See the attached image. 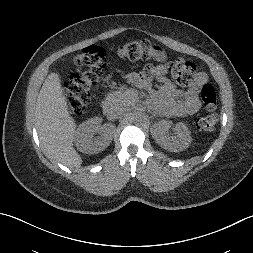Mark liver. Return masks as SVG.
Here are the masks:
<instances>
[{
	"instance_id": "obj_1",
	"label": "liver",
	"mask_w": 253,
	"mask_h": 253,
	"mask_svg": "<svg viewBox=\"0 0 253 253\" xmlns=\"http://www.w3.org/2000/svg\"><path fill=\"white\" fill-rule=\"evenodd\" d=\"M136 96L134 90L126 93L122 101L126 111L131 104L130 100ZM33 122L42 150L51 162L70 168L81 167L82 158L73 148L76 122L70 116L58 73H50L44 81L35 102Z\"/></svg>"
}]
</instances>
